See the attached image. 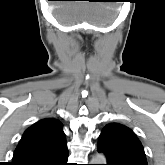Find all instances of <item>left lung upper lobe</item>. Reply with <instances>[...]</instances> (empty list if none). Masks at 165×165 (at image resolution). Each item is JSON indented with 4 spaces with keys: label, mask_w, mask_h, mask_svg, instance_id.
Here are the masks:
<instances>
[{
    "label": "left lung upper lobe",
    "mask_w": 165,
    "mask_h": 165,
    "mask_svg": "<svg viewBox=\"0 0 165 165\" xmlns=\"http://www.w3.org/2000/svg\"><path fill=\"white\" fill-rule=\"evenodd\" d=\"M97 148L105 153L107 165H147L140 141L131 129L119 123L103 128Z\"/></svg>",
    "instance_id": "left-lung-upper-lobe-1"
}]
</instances>
